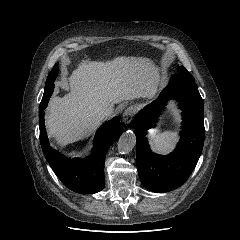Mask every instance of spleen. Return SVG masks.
<instances>
[{
  "label": "spleen",
  "mask_w": 240,
  "mask_h": 240,
  "mask_svg": "<svg viewBox=\"0 0 240 240\" xmlns=\"http://www.w3.org/2000/svg\"><path fill=\"white\" fill-rule=\"evenodd\" d=\"M177 140L174 132L166 131L153 137V144L158 152H167Z\"/></svg>",
  "instance_id": "spleen-1"
}]
</instances>
